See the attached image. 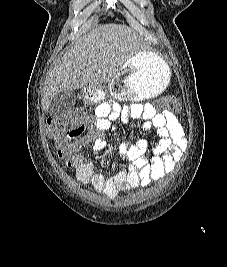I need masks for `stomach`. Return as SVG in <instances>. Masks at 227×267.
Returning a JSON list of instances; mask_svg holds the SVG:
<instances>
[{"mask_svg": "<svg viewBox=\"0 0 227 267\" xmlns=\"http://www.w3.org/2000/svg\"><path fill=\"white\" fill-rule=\"evenodd\" d=\"M170 68L166 61L151 51L135 54L109 82L108 87L90 85L84 99L105 102L112 96L121 100L144 101L161 94L170 81ZM107 96V97H106ZM110 96V97H108Z\"/></svg>", "mask_w": 227, "mask_h": 267, "instance_id": "1", "label": "stomach"}]
</instances>
